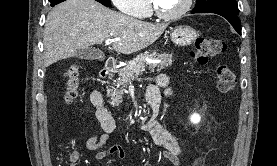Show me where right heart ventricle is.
Here are the masks:
<instances>
[{
    "label": "right heart ventricle",
    "instance_id": "obj_1",
    "mask_svg": "<svg viewBox=\"0 0 277 166\" xmlns=\"http://www.w3.org/2000/svg\"><path fill=\"white\" fill-rule=\"evenodd\" d=\"M149 16H151V10L149 7H147L139 17L145 18V17H149Z\"/></svg>",
    "mask_w": 277,
    "mask_h": 166
}]
</instances>
